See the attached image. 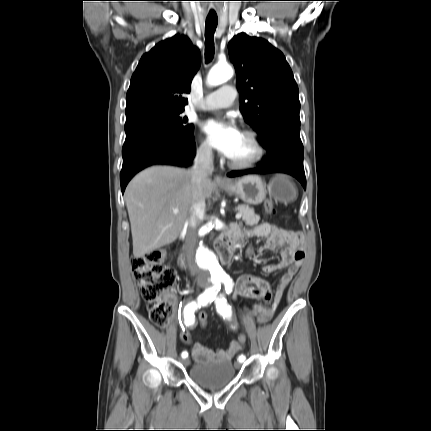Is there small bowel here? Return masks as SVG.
<instances>
[{"label":"small bowel","mask_w":431,"mask_h":431,"mask_svg":"<svg viewBox=\"0 0 431 431\" xmlns=\"http://www.w3.org/2000/svg\"><path fill=\"white\" fill-rule=\"evenodd\" d=\"M236 230L239 235L267 238L268 249L280 250V261L276 264L265 265L263 267L265 273L270 274L281 269H287L274 291L267 281L253 274H243L235 284L232 283L231 291L234 299L241 296L259 301L252 310H258V322L265 323L274 315L285 289L303 262L305 253L302 248V236L297 232L278 228L270 223L259 224L245 232ZM180 266L184 268L183 264ZM169 298L172 303L177 302L176 296L170 295ZM191 345V355L196 364L230 361L244 347L237 340L232 341L227 349L212 350L199 343L192 344V341Z\"/></svg>","instance_id":"1"}]
</instances>
